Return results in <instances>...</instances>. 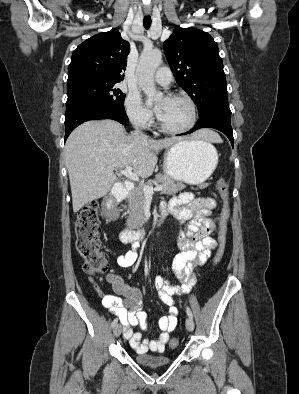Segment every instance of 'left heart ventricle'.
I'll return each instance as SVG.
<instances>
[{
	"label": "left heart ventricle",
	"instance_id": "obj_1",
	"mask_svg": "<svg viewBox=\"0 0 299 394\" xmlns=\"http://www.w3.org/2000/svg\"><path fill=\"white\" fill-rule=\"evenodd\" d=\"M163 105L159 114L161 121L169 128L179 129L191 121L190 106L183 100L160 99L158 105Z\"/></svg>",
	"mask_w": 299,
	"mask_h": 394
}]
</instances>
